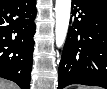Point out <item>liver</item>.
I'll return each instance as SVG.
<instances>
[{
    "mask_svg": "<svg viewBox=\"0 0 107 89\" xmlns=\"http://www.w3.org/2000/svg\"><path fill=\"white\" fill-rule=\"evenodd\" d=\"M0 89H18V86L14 83L2 80L0 83Z\"/></svg>",
    "mask_w": 107,
    "mask_h": 89,
    "instance_id": "1",
    "label": "liver"
}]
</instances>
